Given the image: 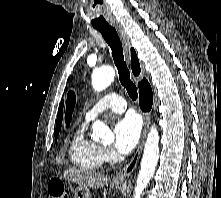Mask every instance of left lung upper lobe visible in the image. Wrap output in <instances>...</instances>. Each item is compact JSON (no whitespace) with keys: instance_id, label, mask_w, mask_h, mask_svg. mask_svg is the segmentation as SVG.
<instances>
[{"instance_id":"1","label":"left lung upper lobe","mask_w":221,"mask_h":198,"mask_svg":"<svg viewBox=\"0 0 221 198\" xmlns=\"http://www.w3.org/2000/svg\"><path fill=\"white\" fill-rule=\"evenodd\" d=\"M74 105H75V94L73 92H69L67 95V106H66V117H65L67 126L71 122Z\"/></svg>"}]
</instances>
